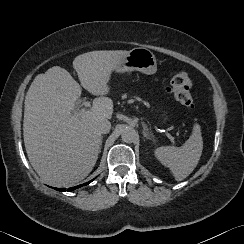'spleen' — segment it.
I'll list each match as a JSON object with an SVG mask.
<instances>
[{"instance_id":"spleen-1","label":"spleen","mask_w":244,"mask_h":244,"mask_svg":"<svg viewBox=\"0 0 244 244\" xmlns=\"http://www.w3.org/2000/svg\"><path fill=\"white\" fill-rule=\"evenodd\" d=\"M202 149L201 127L195 123L190 137L181 147H158L154 150V155L161 164L170 169L175 180L181 181L197 166Z\"/></svg>"}]
</instances>
